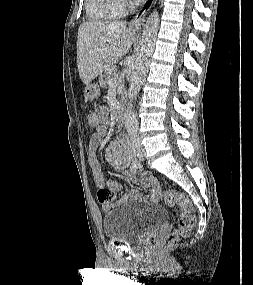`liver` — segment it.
<instances>
[{
  "label": "liver",
  "mask_w": 253,
  "mask_h": 285,
  "mask_svg": "<svg viewBox=\"0 0 253 285\" xmlns=\"http://www.w3.org/2000/svg\"><path fill=\"white\" fill-rule=\"evenodd\" d=\"M133 33L126 22H86L77 37L79 76L88 85L102 71L116 63L131 49Z\"/></svg>",
  "instance_id": "liver-1"
}]
</instances>
